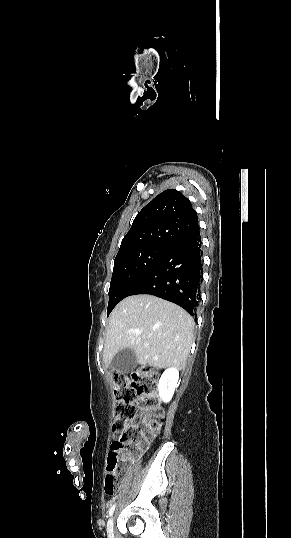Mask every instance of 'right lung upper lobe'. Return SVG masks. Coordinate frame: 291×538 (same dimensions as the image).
<instances>
[{"mask_svg":"<svg viewBox=\"0 0 291 538\" xmlns=\"http://www.w3.org/2000/svg\"><path fill=\"white\" fill-rule=\"evenodd\" d=\"M198 231V216L189 199L168 189L138 213L117 255L148 245L172 247Z\"/></svg>","mask_w":291,"mask_h":538,"instance_id":"right-lung-upper-lobe-1","label":"right lung upper lobe"}]
</instances>
